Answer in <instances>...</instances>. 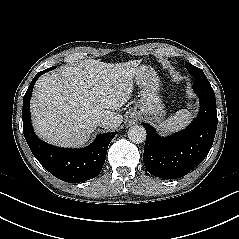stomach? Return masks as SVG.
I'll return each instance as SVG.
<instances>
[{"mask_svg": "<svg viewBox=\"0 0 239 239\" xmlns=\"http://www.w3.org/2000/svg\"><path fill=\"white\" fill-rule=\"evenodd\" d=\"M135 81L140 88V99L130 111V118L149 116L159 122L165 114L162 99L159 95V77L152 68L142 66L140 73L135 77Z\"/></svg>", "mask_w": 239, "mask_h": 239, "instance_id": "1", "label": "stomach"}]
</instances>
